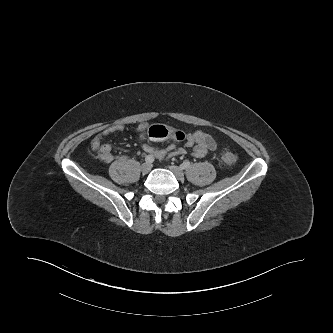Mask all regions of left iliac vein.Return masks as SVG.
Segmentation results:
<instances>
[{
  "label": "left iliac vein",
  "instance_id": "obj_1",
  "mask_svg": "<svg viewBox=\"0 0 333 333\" xmlns=\"http://www.w3.org/2000/svg\"><path fill=\"white\" fill-rule=\"evenodd\" d=\"M169 169L172 171V173L175 175V177L178 180L184 179V172L180 167L171 165V166H169Z\"/></svg>",
  "mask_w": 333,
  "mask_h": 333
}]
</instances>
